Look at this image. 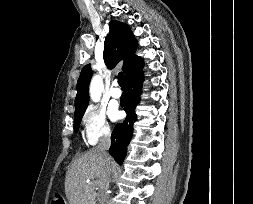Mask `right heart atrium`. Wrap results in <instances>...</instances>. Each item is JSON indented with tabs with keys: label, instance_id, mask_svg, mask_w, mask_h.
<instances>
[{
	"label": "right heart atrium",
	"instance_id": "d8ad5b80",
	"mask_svg": "<svg viewBox=\"0 0 253 204\" xmlns=\"http://www.w3.org/2000/svg\"><path fill=\"white\" fill-rule=\"evenodd\" d=\"M82 126L86 142L89 145H96L112 133L107 113L96 105H91L85 110L82 117Z\"/></svg>",
	"mask_w": 253,
	"mask_h": 204
}]
</instances>
